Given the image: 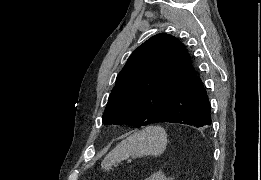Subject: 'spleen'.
Wrapping results in <instances>:
<instances>
[{"mask_svg": "<svg viewBox=\"0 0 261 180\" xmlns=\"http://www.w3.org/2000/svg\"><path fill=\"white\" fill-rule=\"evenodd\" d=\"M167 146V134L164 128L161 126H147L141 132L132 134L126 140H122L108 156L107 170H110L111 166L122 162V160H128V158H143V156H155L159 158L161 154H164Z\"/></svg>", "mask_w": 261, "mask_h": 180, "instance_id": "obj_1", "label": "spleen"}]
</instances>
